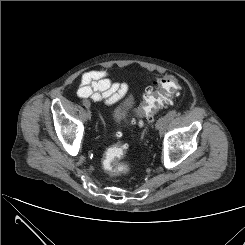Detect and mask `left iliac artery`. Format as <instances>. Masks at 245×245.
I'll use <instances>...</instances> for the list:
<instances>
[{"instance_id": "obj_1", "label": "left iliac artery", "mask_w": 245, "mask_h": 245, "mask_svg": "<svg viewBox=\"0 0 245 245\" xmlns=\"http://www.w3.org/2000/svg\"><path fill=\"white\" fill-rule=\"evenodd\" d=\"M175 116H177V111L176 110H172L170 112L167 113L166 117H167V120H166V124L172 120Z\"/></svg>"}]
</instances>
